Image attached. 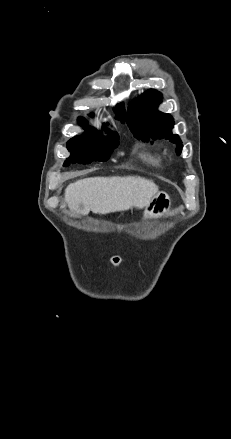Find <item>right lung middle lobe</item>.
<instances>
[{"mask_svg":"<svg viewBox=\"0 0 231 439\" xmlns=\"http://www.w3.org/2000/svg\"><path fill=\"white\" fill-rule=\"evenodd\" d=\"M87 130L81 136H75L67 143L71 155L65 160L64 166L70 163H91L92 161H106L112 150L118 145L117 132L108 130V138L103 142L101 133L87 125L86 121H79Z\"/></svg>","mask_w":231,"mask_h":439,"instance_id":"obj_1","label":"right lung middle lobe"}]
</instances>
